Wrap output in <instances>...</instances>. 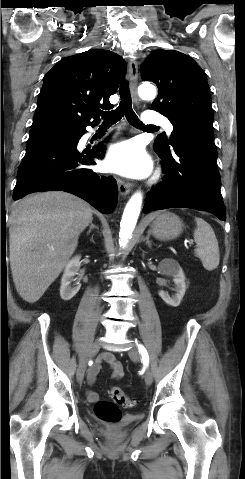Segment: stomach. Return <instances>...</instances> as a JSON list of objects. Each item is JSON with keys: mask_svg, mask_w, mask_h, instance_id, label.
I'll list each match as a JSON object with an SVG mask.
<instances>
[{"mask_svg": "<svg viewBox=\"0 0 245 479\" xmlns=\"http://www.w3.org/2000/svg\"><path fill=\"white\" fill-rule=\"evenodd\" d=\"M182 230L181 219L169 212L160 214L151 224V233L155 238L162 241L176 238Z\"/></svg>", "mask_w": 245, "mask_h": 479, "instance_id": "1", "label": "stomach"}]
</instances>
